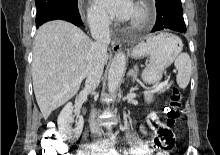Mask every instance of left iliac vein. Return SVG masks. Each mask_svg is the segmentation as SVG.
<instances>
[{
    "label": "left iliac vein",
    "mask_w": 220,
    "mask_h": 155,
    "mask_svg": "<svg viewBox=\"0 0 220 155\" xmlns=\"http://www.w3.org/2000/svg\"><path fill=\"white\" fill-rule=\"evenodd\" d=\"M103 155H110V154L104 153Z\"/></svg>",
    "instance_id": "left-iliac-vein-1"
}]
</instances>
